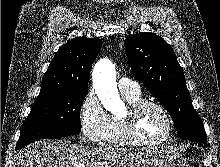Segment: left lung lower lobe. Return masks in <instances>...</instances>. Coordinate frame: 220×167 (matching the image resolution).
<instances>
[{"label": "left lung lower lobe", "mask_w": 220, "mask_h": 167, "mask_svg": "<svg viewBox=\"0 0 220 167\" xmlns=\"http://www.w3.org/2000/svg\"><path fill=\"white\" fill-rule=\"evenodd\" d=\"M195 142L202 143V144H206V142H201V141H195Z\"/></svg>", "instance_id": "left-lung-lower-lobe-1"}]
</instances>
